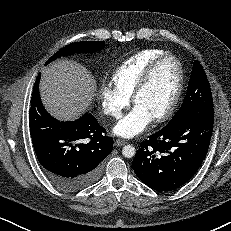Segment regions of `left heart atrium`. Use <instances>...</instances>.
Here are the masks:
<instances>
[{"mask_svg":"<svg viewBox=\"0 0 231 231\" xmlns=\"http://www.w3.org/2000/svg\"><path fill=\"white\" fill-rule=\"evenodd\" d=\"M152 121L149 113L135 106L114 126V132L119 136L131 138L143 132Z\"/></svg>","mask_w":231,"mask_h":231,"instance_id":"left-heart-atrium-1","label":"left heart atrium"}]
</instances>
